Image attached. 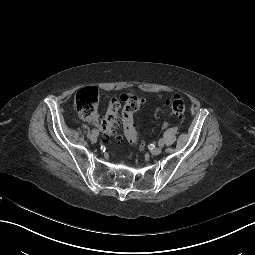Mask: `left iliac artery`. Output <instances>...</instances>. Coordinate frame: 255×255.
Returning <instances> with one entry per match:
<instances>
[{
    "label": "left iliac artery",
    "instance_id": "44dca946",
    "mask_svg": "<svg viewBox=\"0 0 255 255\" xmlns=\"http://www.w3.org/2000/svg\"><path fill=\"white\" fill-rule=\"evenodd\" d=\"M158 145H159L160 147H163V146H164L163 139H159V141H158Z\"/></svg>",
    "mask_w": 255,
    "mask_h": 255
}]
</instances>
